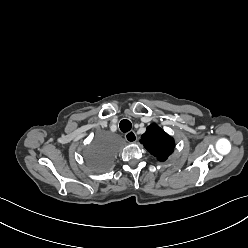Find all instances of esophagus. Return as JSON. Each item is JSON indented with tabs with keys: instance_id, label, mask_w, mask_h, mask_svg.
Returning <instances> with one entry per match:
<instances>
[{
	"instance_id": "1",
	"label": "esophagus",
	"mask_w": 248,
	"mask_h": 248,
	"mask_svg": "<svg viewBox=\"0 0 248 248\" xmlns=\"http://www.w3.org/2000/svg\"><path fill=\"white\" fill-rule=\"evenodd\" d=\"M125 139L129 143H135L137 140V135L134 131H129L125 134Z\"/></svg>"
}]
</instances>
